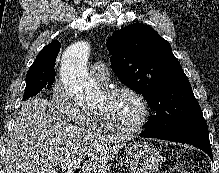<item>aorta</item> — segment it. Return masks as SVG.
<instances>
[{"instance_id": "762f6f07", "label": "aorta", "mask_w": 219, "mask_h": 173, "mask_svg": "<svg viewBox=\"0 0 219 173\" xmlns=\"http://www.w3.org/2000/svg\"><path fill=\"white\" fill-rule=\"evenodd\" d=\"M89 54V43L80 41L69 46L62 55L60 76L64 89L79 102L91 101L98 94V87L87 71Z\"/></svg>"}]
</instances>
